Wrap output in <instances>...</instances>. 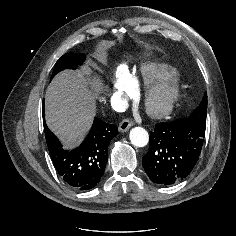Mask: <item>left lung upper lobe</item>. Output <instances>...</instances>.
<instances>
[{
    "instance_id": "5c2ea615",
    "label": "left lung upper lobe",
    "mask_w": 236,
    "mask_h": 236,
    "mask_svg": "<svg viewBox=\"0 0 236 236\" xmlns=\"http://www.w3.org/2000/svg\"><path fill=\"white\" fill-rule=\"evenodd\" d=\"M206 117H207V93L204 94L201 104L197 109L193 111L189 119L197 122H206Z\"/></svg>"
}]
</instances>
